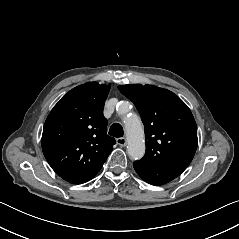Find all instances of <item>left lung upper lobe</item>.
I'll return each instance as SVG.
<instances>
[{
	"label": "left lung upper lobe",
	"instance_id": "obj_1",
	"mask_svg": "<svg viewBox=\"0 0 239 239\" xmlns=\"http://www.w3.org/2000/svg\"><path fill=\"white\" fill-rule=\"evenodd\" d=\"M138 109L145 127L146 165L188 167L197 149V126L187 105L174 93L152 85H120Z\"/></svg>",
	"mask_w": 239,
	"mask_h": 239
}]
</instances>
